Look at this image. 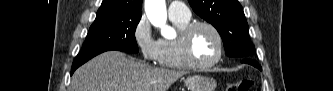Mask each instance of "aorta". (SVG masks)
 Here are the masks:
<instances>
[{
    "instance_id": "obj_1",
    "label": "aorta",
    "mask_w": 333,
    "mask_h": 91,
    "mask_svg": "<svg viewBox=\"0 0 333 91\" xmlns=\"http://www.w3.org/2000/svg\"><path fill=\"white\" fill-rule=\"evenodd\" d=\"M145 11L150 22L161 29L165 37H170L172 30L166 25L167 13L165 0H146Z\"/></svg>"
}]
</instances>
